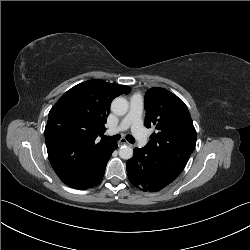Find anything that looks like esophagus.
<instances>
[{"mask_svg": "<svg viewBox=\"0 0 250 250\" xmlns=\"http://www.w3.org/2000/svg\"><path fill=\"white\" fill-rule=\"evenodd\" d=\"M123 145H130L126 139L122 138L119 142H118V146H123Z\"/></svg>", "mask_w": 250, "mask_h": 250, "instance_id": "1", "label": "esophagus"}]
</instances>
